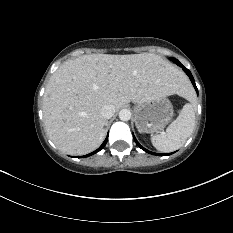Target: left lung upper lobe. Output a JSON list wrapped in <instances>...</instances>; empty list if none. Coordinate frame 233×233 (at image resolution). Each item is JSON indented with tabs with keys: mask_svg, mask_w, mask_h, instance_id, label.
I'll return each instance as SVG.
<instances>
[{
	"mask_svg": "<svg viewBox=\"0 0 233 233\" xmlns=\"http://www.w3.org/2000/svg\"><path fill=\"white\" fill-rule=\"evenodd\" d=\"M174 59H175V58H171V60H172L173 62H174Z\"/></svg>",
	"mask_w": 233,
	"mask_h": 233,
	"instance_id": "left-lung-upper-lobe-1",
	"label": "left lung upper lobe"
}]
</instances>
